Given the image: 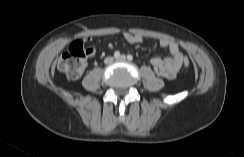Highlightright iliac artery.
<instances>
[{"label": "right iliac artery", "mask_w": 244, "mask_h": 157, "mask_svg": "<svg viewBox=\"0 0 244 157\" xmlns=\"http://www.w3.org/2000/svg\"><path fill=\"white\" fill-rule=\"evenodd\" d=\"M120 56V52L119 51H116L115 53H114V57L115 58H118Z\"/></svg>", "instance_id": "obj_1"}]
</instances>
